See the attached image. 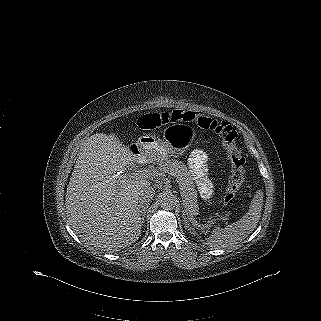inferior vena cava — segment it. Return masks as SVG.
Masks as SVG:
<instances>
[{"label": "inferior vena cava", "instance_id": "obj_1", "mask_svg": "<svg viewBox=\"0 0 321 321\" xmlns=\"http://www.w3.org/2000/svg\"><path fill=\"white\" fill-rule=\"evenodd\" d=\"M138 194L141 204H149L155 195V189L151 185H145L141 187Z\"/></svg>", "mask_w": 321, "mask_h": 321}]
</instances>
